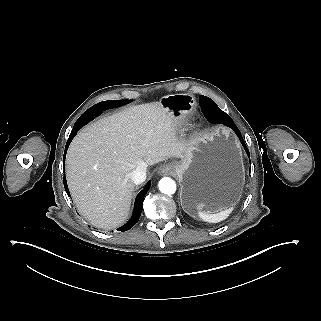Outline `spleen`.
<instances>
[{"label": "spleen", "instance_id": "obj_1", "mask_svg": "<svg viewBox=\"0 0 321 321\" xmlns=\"http://www.w3.org/2000/svg\"><path fill=\"white\" fill-rule=\"evenodd\" d=\"M231 212H232V208L220 211L219 213H215V214L199 212V216L202 220L207 222H220L226 219Z\"/></svg>", "mask_w": 321, "mask_h": 321}]
</instances>
